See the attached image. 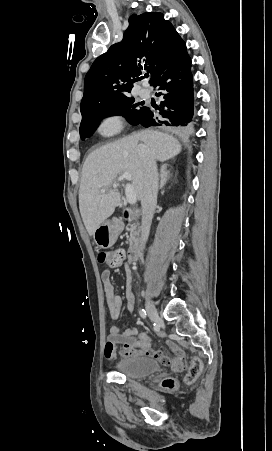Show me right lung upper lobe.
Wrapping results in <instances>:
<instances>
[{
    "label": "right lung upper lobe",
    "mask_w": 272,
    "mask_h": 451,
    "mask_svg": "<svg viewBox=\"0 0 272 451\" xmlns=\"http://www.w3.org/2000/svg\"><path fill=\"white\" fill-rule=\"evenodd\" d=\"M185 53V42L162 13L130 16L122 42L100 55L86 74L81 113L129 97L143 69L151 73L152 85L160 72Z\"/></svg>",
    "instance_id": "right-lung-upper-lobe-1"
}]
</instances>
